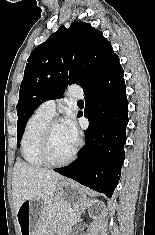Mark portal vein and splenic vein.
Returning a JSON list of instances; mask_svg holds the SVG:
<instances>
[{
    "instance_id": "18ae733b",
    "label": "portal vein and splenic vein",
    "mask_w": 155,
    "mask_h": 235,
    "mask_svg": "<svg viewBox=\"0 0 155 235\" xmlns=\"http://www.w3.org/2000/svg\"><path fill=\"white\" fill-rule=\"evenodd\" d=\"M73 211H74L73 209L69 208V212H73Z\"/></svg>"
}]
</instances>
